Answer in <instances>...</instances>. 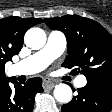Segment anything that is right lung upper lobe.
Here are the masks:
<instances>
[{
	"mask_svg": "<svg viewBox=\"0 0 112 112\" xmlns=\"http://www.w3.org/2000/svg\"><path fill=\"white\" fill-rule=\"evenodd\" d=\"M42 22L40 18L14 16L0 19V86L8 81L4 73L5 63L21 50L25 32Z\"/></svg>",
	"mask_w": 112,
	"mask_h": 112,
	"instance_id": "cb5924a9",
	"label": "right lung upper lobe"
}]
</instances>
